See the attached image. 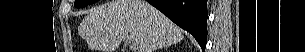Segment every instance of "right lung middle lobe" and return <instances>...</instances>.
<instances>
[{
    "label": "right lung middle lobe",
    "instance_id": "dd1d6c3e",
    "mask_svg": "<svg viewBox=\"0 0 305 52\" xmlns=\"http://www.w3.org/2000/svg\"><path fill=\"white\" fill-rule=\"evenodd\" d=\"M96 1H98V0H76L75 3H74V6L76 8H82V7L87 6L91 3H94Z\"/></svg>",
    "mask_w": 305,
    "mask_h": 52
}]
</instances>
